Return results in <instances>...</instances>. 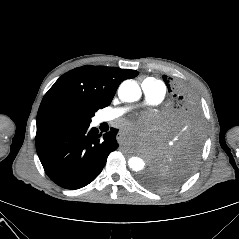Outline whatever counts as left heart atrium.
<instances>
[{"mask_svg": "<svg viewBox=\"0 0 239 239\" xmlns=\"http://www.w3.org/2000/svg\"><path fill=\"white\" fill-rule=\"evenodd\" d=\"M123 126L125 129H128V130H133V129L147 130L149 128V125L146 121L145 116H137L134 119L125 120L123 122Z\"/></svg>", "mask_w": 239, "mask_h": 239, "instance_id": "left-heart-atrium-1", "label": "left heart atrium"}]
</instances>
